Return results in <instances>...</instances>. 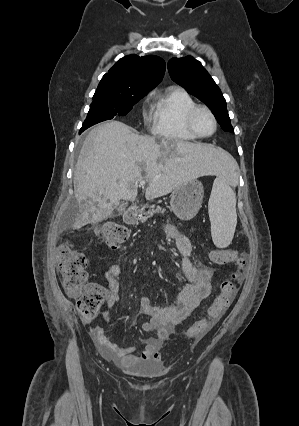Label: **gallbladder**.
Listing matches in <instances>:
<instances>
[{
	"mask_svg": "<svg viewBox=\"0 0 299 426\" xmlns=\"http://www.w3.org/2000/svg\"><path fill=\"white\" fill-rule=\"evenodd\" d=\"M124 207H125V204L120 205V207L118 208V211L119 212L123 211Z\"/></svg>",
	"mask_w": 299,
	"mask_h": 426,
	"instance_id": "1",
	"label": "gallbladder"
}]
</instances>
